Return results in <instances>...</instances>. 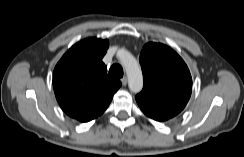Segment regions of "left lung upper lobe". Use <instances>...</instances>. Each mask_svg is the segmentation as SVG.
I'll list each match as a JSON object with an SVG mask.
<instances>
[{"mask_svg": "<svg viewBox=\"0 0 244 157\" xmlns=\"http://www.w3.org/2000/svg\"><path fill=\"white\" fill-rule=\"evenodd\" d=\"M144 87L136 95L143 113L157 121L179 114L192 92L190 71L182 58L170 47L149 42L140 54Z\"/></svg>", "mask_w": 244, "mask_h": 157, "instance_id": "5c2ea615", "label": "left lung upper lobe"}]
</instances>
